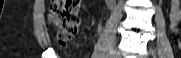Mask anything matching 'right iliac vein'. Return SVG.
Segmentation results:
<instances>
[{"instance_id":"1","label":"right iliac vein","mask_w":181,"mask_h":58,"mask_svg":"<svg viewBox=\"0 0 181 58\" xmlns=\"http://www.w3.org/2000/svg\"><path fill=\"white\" fill-rule=\"evenodd\" d=\"M112 58H119V52H115Z\"/></svg>"}]
</instances>
